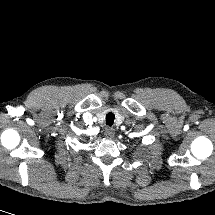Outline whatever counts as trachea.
<instances>
[{
  "label": "trachea",
  "instance_id": "3493384b",
  "mask_svg": "<svg viewBox=\"0 0 215 215\" xmlns=\"http://www.w3.org/2000/svg\"><path fill=\"white\" fill-rule=\"evenodd\" d=\"M115 115L113 113H108L106 115V124L112 126L114 123Z\"/></svg>",
  "mask_w": 215,
  "mask_h": 215
}]
</instances>
